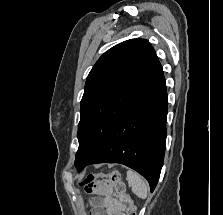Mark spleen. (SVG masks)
<instances>
[{
	"mask_svg": "<svg viewBox=\"0 0 223 215\" xmlns=\"http://www.w3.org/2000/svg\"><path fill=\"white\" fill-rule=\"evenodd\" d=\"M127 179L133 193H136L138 197H147L149 187L139 173L130 171L129 169V171H127Z\"/></svg>",
	"mask_w": 223,
	"mask_h": 215,
	"instance_id": "obj_1",
	"label": "spleen"
}]
</instances>
